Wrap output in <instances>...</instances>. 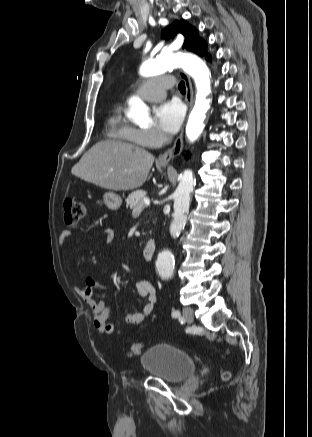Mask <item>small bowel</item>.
<instances>
[{
	"instance_id": "small-bowel-1",
	"label": "small bowel",
	"mask_w": 312,
	"mask_h": 437,
	"mask_svg": "<svg viewBox=\"0 0 312 437\" xmlns=\"http://www.w3.org/2000/svg\"><path fill=\"white\" fill-rule=\"evenodd\" d=\"M106 242L111 243L114 240L115 232L112 228H106L102 231ZM71 235L70 231L64 232L63 236ZM96 289L104 290V286L99 284L93 277H86L81 288H77V293L82 301L90 308L93 316V324L101 334L119 335L121 329L108 322L111 308L106 300L95 301L93 298ZM137 293L146 301L142 306L141 312H131L125 316V323L128 325H137L145 321L146 317L152 314L157 303V293L153 285L147 280H140L136 283Z\"/></svg>"
}]
</instances>
